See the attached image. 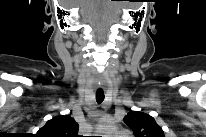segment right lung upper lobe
<instances>
[{"mask_svg": "<svg viewBox=\"0 0 206 137\" xmlns=\"http://www.w3.org/2000/svg\"><path fill=\"white\" fill-rule=\"evenodd\" d=\"M79 125L70 115H60L47 121L39 129L40 137H77Z\"/></svg>", "mask_w": 206, "mask_h": 137, "instance_id": "cb5924a9", "label": "right lung upper lobe"}]
</instances>
